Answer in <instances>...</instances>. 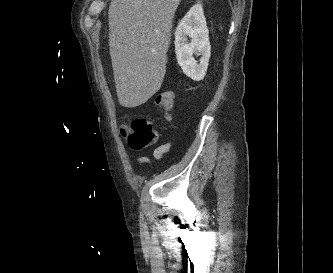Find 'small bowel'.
<instances>
[{"mask_svg": "<svg viewBox=\"0 0 333 273\" xmlns=\"http://www.w3.org/2000/svg\"><path fill=\"white\" fill-rule=\"evenodd\" d=\"M171 147H172L171 142H165V143L159 145L153 152L154 159L155 160H160L164 156V154H166L167 152L170 151ZM137 160L141 164H145V163L150 162V159L146 156L138 157Z\"/></svg>", "mask_w": 333, "mask_h": 273, "instance_id": "obj_1", "label": "small bowel"}]
</instances>
